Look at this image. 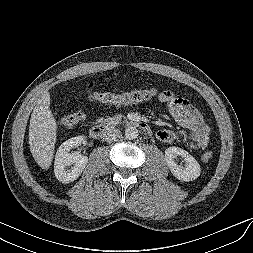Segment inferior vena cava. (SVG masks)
Wrapping results in <instances>:
<instances>
[{
    "label": "inferior vena cava",
    "instance_id": "1",
    "mask_svg": "<svg viewBox=\"0 0 253 253\" xmlns=\"http://www.w3.org/2000/svg\"><path fill=\"white\" fill-rule=\"evenodd\" d=\"M121 137H122L121 131L119 129H115L113 127L108 128L104 132V139H105V141H107L109 143L118 141Z\"/></svg>",
    "mask_w": 253,
    "mask_h": 253
}]
</instances>
